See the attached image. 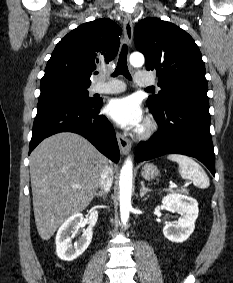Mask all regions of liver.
I'll return each instance as SVG.
<instances>
[{"label":"liver","instance_id":"liver-1","mask_svg":"<svg viewBox=\"0 0 233 283\" xmlns=\"http://www.w3.org/2000/svg\"><path fill=\"white\" fill-rule=\"evenodd\" d=\"M106 163L88 140L71 132L50 136L34 149L30 177L35 223L42 240H49L61 224L90 204Z\"/></svg>","mask_w":233,"mask_h":283}]
</instances>
